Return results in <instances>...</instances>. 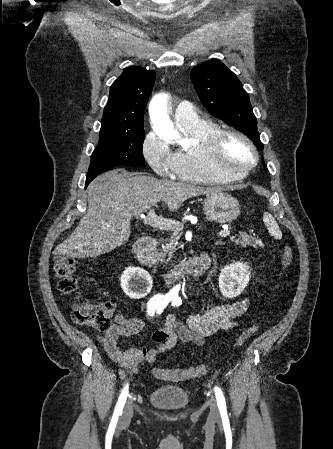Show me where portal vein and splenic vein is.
<instances>
[{"label": "portal vein and splenic vein", "mask_w": 333, "mask_h": 449, "mask_svg": "<svg viewBox=\"0 0 333 449\" xmlns=\"http://www.w3.org/2000/svg\"><path fill=\"white\" fill-rule=\"evenodd\" d=\"M143 218V223L147 224L153 228H159L162 230H181L182 229V225L178 222L172 221V220H167L165 218H161L158 217L154 210H150L147 214V216H142ZM219 235L222 237H226L230 235V231L229 230H223L221 232H219Z\"/></svg>", "instance_id": "18ae733b"}]
</instances>
